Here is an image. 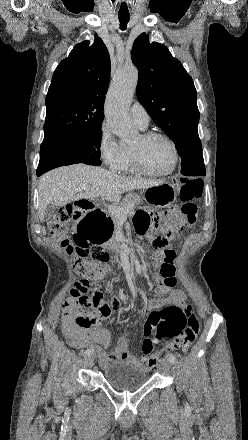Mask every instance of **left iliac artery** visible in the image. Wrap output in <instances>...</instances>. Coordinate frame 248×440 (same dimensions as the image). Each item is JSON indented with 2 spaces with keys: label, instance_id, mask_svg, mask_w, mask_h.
<instances>
[{
  "label": "left iliac artery",
  "instance_id": "44dca946",
  "mask_svg": "<svg viewBox=\"0 0 248 440\" xmlns=\"http://www.w3.org/2000/svg\"><path fill=\"white\" fill-rule=\"evenodd\" d=\"M167 358L170 360L171 363L175 364L177 359L172 353L167 354Z\"/></svg>",
  "mask_w": 248,
  "mask_h": 440
}]
</instances>
